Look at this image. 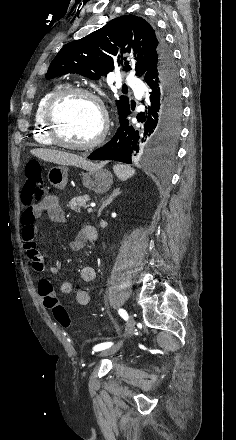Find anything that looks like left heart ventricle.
Here are the masks:
<instances>
[{"label":"left heart ventricle","mask_w":236,"mask_h":440,"mask_svg":"<svg viewBox=\"0 0 236 440\" xmlns=\"http://www.w3.org/2000/svg\"><path fill=\"white\" fill-rule=\"evenodd\" d=\"M57 128L62 139L73 144L91 141L100 129L97 106L81 96H69L55 110Z\"/></svg>","instance_id":"1"}]
</instances>
